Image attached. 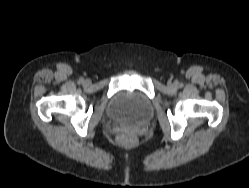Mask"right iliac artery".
I'll use <instances>...</instances> for the list:
<instances>
[{
    "instance_id": "obj_1",
    "label": "right iliac artery",
    "mask_w": 249,
    "mask_h": 188,
    "mask_svg": "<svg viewBox=\"0 0 249 188\" xmlns=\"http://www.w3.org/2000/svg\"><path fill=\"white\" fill-rule=\"evenodd\" d=\"M83 81H84V79H83V78H80L78 82H79V83H83Z\"/></svg>"
}]
</instances>
